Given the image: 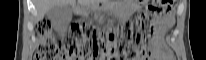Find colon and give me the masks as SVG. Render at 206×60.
<instances>
[{
    "label": "colon",
    "instance_id": "1",
    "mask_svg": "<svg viewBox=\"0 0 206 60\" xmlns=\"http://www.w3.org/2000/svg\"><path fill=\"white\" fill-rule=\"evenodd\" d=\"M174 0L151 1L135 22H125L101 32L90 24H72L69 34L59 39L47 19L37 24V60H96L108 54L111 60H137L146 53L152 27L168 19L175 8ZM105 38L108 45L102 43Z\"/></svg>",
    "mask_w": 206,
    "mask_h": 60
}]
</instances>
